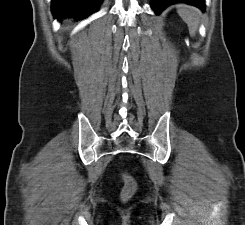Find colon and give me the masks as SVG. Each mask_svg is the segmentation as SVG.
I'll list each match as a JSON object with an SVG mask.
<instances>
[{"label": "colon", "instance_id": "5ec220e1", "mask_svg": "<svg viewBox=\"0 0 245 225\" xmlns=\"http://www.w3.org/2000/svg\"><path fill=\"white\" fill-rule=\"evenodd\" d=\"M123 183V189L120 193V199L122 202L130 201L137 193L138 186L136 181L127 174L121 176Z\"/></svg>", "mask_w": 245, "mask_h": 225}]
</instances>
